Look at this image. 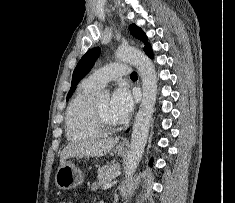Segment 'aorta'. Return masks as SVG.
<instances>
[{"label": "aorta", "instance_id": "762f6f07", "mask_svg": "<svg viewBox=\"0 0 235 203\" xmlns=\"http://www.w3.org/2000/svg\"><path fill=\"white\" fill-rule=\"evenodd\" d=\"M116 58L133 64L142 80V100L132 129L131 145L126 163V182L136 171L148 139L157 96V75L152 61L141 51L126 47L116 51Z\"/></svg>", "mask_w": 235, "mask_h": 203}]
</instances>
